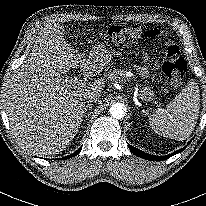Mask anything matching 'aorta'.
<instances>
[{
    "label": "aorta",
    "mask_w": 206,
    "mask_h": 206,
    "mask_svg": "<svg viewBox=\"0 0 206 206\" xmlns=\"http://www.w3.org/2000/svg\"><path fill=\"white\" fill-rule=\"evenodd\" d=\"M109 111L111 116L116 119H121L126 115V107L122 103L113 104Z\"/></svg>",
    "instance_id": "obj_1"
}]
</instances>
